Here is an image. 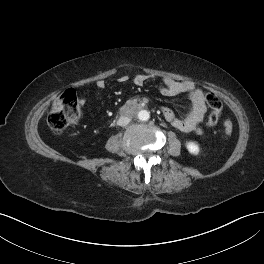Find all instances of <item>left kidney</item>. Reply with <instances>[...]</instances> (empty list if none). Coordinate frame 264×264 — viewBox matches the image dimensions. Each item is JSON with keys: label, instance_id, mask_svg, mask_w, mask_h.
Listing matches in <instances>:
<instances>
[{"label": "left kidney", "instance_id": "left-kidney-1", "mask_svg": "<svg viewBox=\"0 0 264 264\" xmlns=\"http://www.w3.org/2000/svg\"><path fill=\"white\" fill-rule=\"evenodd\" d=\"M186 148L189 151V153L193 154V155H197L199 153V146L197 143L195 142H188L186 144Z\"/></svg>", "mask_w": 264, "mask_h": 264}]
</instances>
